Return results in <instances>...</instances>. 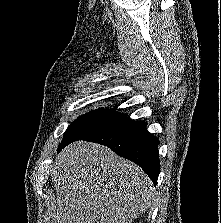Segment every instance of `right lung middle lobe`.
<instances>
[{
    "label": "right lung middle lobe",
    "mask_w": 221,
    "mask_h": 223,
    "mask_svg": "<svg viewBox=\"0 0 221 223\" xmlns=\"http://www.w3.org/2000/svg\"><path fill=\"white\" fill-rule=\"evenodd\" d=\"M124 117L126 114H120L114 110H103L102 108L86 113L70 124L58 150L89 133L112 125Z\"/></svg>",
    "instance_id": "dd1d6c3e"
}]
</instances>
